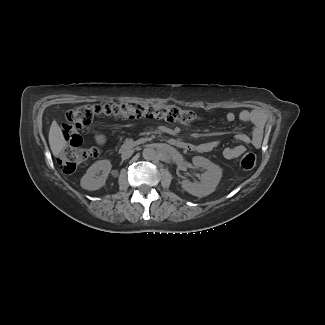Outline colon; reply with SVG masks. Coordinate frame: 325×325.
Returning a JSON list of instances; mask_svg holds the SVG:
<instances>
[{"instance_id":"obj_1","label":"colon","mask_w":325,"mask_h":325,"mask_svg":"<svg viewBox=\"0 0 325 325\" xmlns=\"http://www.w3.org/2000/svg\"><path fill=\"white\" fill-rule=\"evenodd\" d=\"M97 116H106L114 119L156 118L166 119L185 125L193 124L197 120L194 112L181 109L175 105L153 102L121 104H86L77 106L66 113V122L75 130L89 131ZM96 148H82L81 146H68L59 155L58 163L65 173L74 172L81 164L98 155ZM257 158L254 153H245L239 166L243 170L255 168Z\"/></svg>"}]
</instances>
